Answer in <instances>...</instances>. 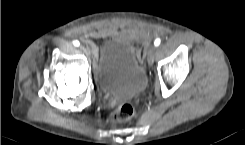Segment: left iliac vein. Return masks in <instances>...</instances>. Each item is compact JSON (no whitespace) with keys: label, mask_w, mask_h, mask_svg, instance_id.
<instances>
[{"label":"left iliac vein","mask_w":245,"mask_h":145,"mask_svg":"<svg viewBox=\"0 0 245 145\" xmlns=\"http://www.w3.org/2000/svg\"><path fill=\"white\" fill-rule=\"evenodd\" d=\"M155 56V47L150 46L146 49V58L149 65H151L154 61Z\"/></svg>","instance_id":"left-iliac-vein-1"}]
</instances>
